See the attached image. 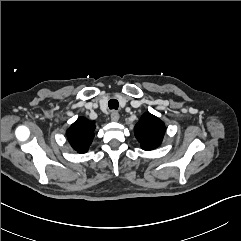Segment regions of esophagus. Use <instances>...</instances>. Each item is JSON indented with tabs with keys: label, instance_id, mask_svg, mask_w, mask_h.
Masks as SVG:
<instances>
[{
	"label": "esophagus",
	"instance_id": "esophagus-1",
	"mask_svg": "<svg viewBox=\"0 0 241 241\" xmlns=\"http://www.w3.org/2000/svg\"><path fill=\"white\" fill-rule=\"evenodd\" d=\"M119 120V114L116 111H112L111 113V121L117 122Z\"/></svg>",
	"mask_w": 241,
	"mask_h": 241
}]
</instances>
